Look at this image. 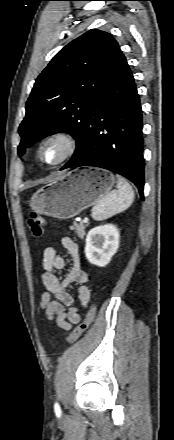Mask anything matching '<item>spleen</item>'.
Returning a JSON list of instances; mask_svg holds the SVG:
<instances>
[{"mask_svg": "<svg viewBox=\"0 0 174 440\" xmlns=\"http://www.w3.org/2000/svg\"><path fill=\"white\" fill-rule=\"evenodd\" d=\"M134 201V191L123 177L117 175V190L104 195L92 209L96 221L108 219L128 209Z\"/></svg>", "mask_w": 174, "mask_h": 440, "instance_id": "obj_1", "label": "spleen"}]
</instances>
